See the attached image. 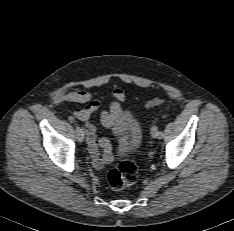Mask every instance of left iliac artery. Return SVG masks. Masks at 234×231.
Returning <instances> with one entry per match:
<instances>
[{"mask_svg":"<svg viewBox=\"0 0 234 231\" xmlns=\"http://www.w3.org/2000/svg\"><path fill=\"white\" fill-rule=\"evenodd\" d=\"M163 136H164L163 132L162 131H158V137L162 138Z\"/></svg>","mask_w":234,"mask_h":231,"instance_id":"1","label":"left iliac artery"}]
</instances>
